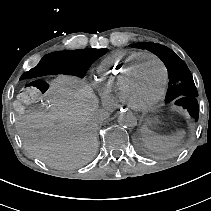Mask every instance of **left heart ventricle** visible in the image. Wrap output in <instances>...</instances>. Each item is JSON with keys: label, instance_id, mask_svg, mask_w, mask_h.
Wrapping results in <instances>:
<instances>
[{"label": "left heart ventricle", "instance_id": "b2bd125f", "mask_svg": "<svg viewBox=\"0 0 211 211\" xmlns=\"http://www.w3.org/2000/svg\"><path fill=\"white\" fill-rule=\"evenodd\" d=\"M163 74L160 65L152 59L141 63L131 84V98L139 104H147L158 96L162 88Z\"/></svg>", "mask_w": 211, "mask_h": 211}]
</instances>
